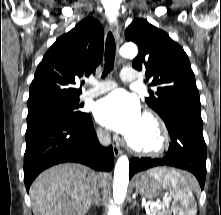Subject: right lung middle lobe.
Wrapping results in <instances>:
<instances>
[{"mask_svg":"<svg viewBox=\"0 0 221 215\" xmlns=\"http://www.w3.org/2000/svg\"><path fill=\"white\" fill-rule=\"evenodd\" d=\"M79 99L52 102L43 105L28 107L27 124L36 122L47 116L65 115L82 116L85 113L78 111Z\"/></svg>","mask_w":221,"mask_h":215,"instance_id":"obj_1","label":"right lung middle lobe"}]
</instances>
